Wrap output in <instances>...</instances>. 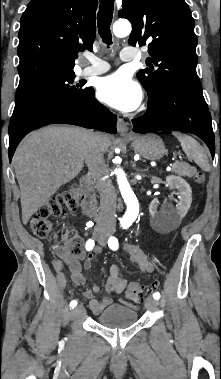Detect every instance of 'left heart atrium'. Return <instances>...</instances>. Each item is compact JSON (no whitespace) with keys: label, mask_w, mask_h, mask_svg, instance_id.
<instances>
[{"label":"left heart atrium","mask_w":221,"mask_h":379,"mask_svg":"<svg viewBox=\"0 0 221 379\" xmlns=\"http://www.w3.org/2000/svg\"><path fill=\"white\" fill-rule=\"evenodd\" d=\"M97 97L106 105L127 112L135 110L139 106L142 91L140 86L127 74L117 72L99 81Z\"/></svg>","instance_id":"1"}]
</instances>
